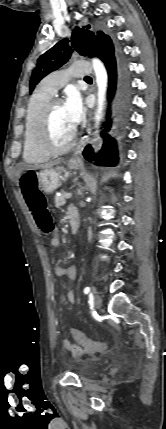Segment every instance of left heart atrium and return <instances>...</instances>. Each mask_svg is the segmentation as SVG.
Listing matches in <instances>:
<instances>
[{
	"instance_id": "left-heart-atrium-1",
	"label": "left heart atrium",
	"mask_w": 166,
	"mask_h": 429,
	"mask_svg": "<svg viewBox=\"0 0 166 429\" xmlns=\"http://www.w3.org/2000/svg\"><path fill=\"white\" fill-rule=\"evenodd\" d=\"M64 107L70 122L75 127L83 117V105L80 95L77 92H71L64 102Z\"/></svg>"
}]
</instances>
